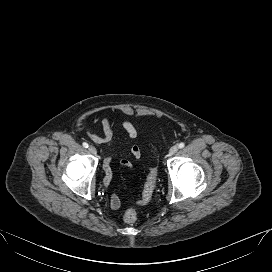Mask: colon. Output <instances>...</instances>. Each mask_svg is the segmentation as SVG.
I'll list each match as a JSON object with an SVG mask.
<instances>
[{"instance_id":"colon-1","label":"colon","mask_w":272,"mask_h":272,"mask_svg":"<svg viewBox=\"0 0 272 272\" xmlns=\"http://www.w3.org/2000/svg\"><path fill=\"white\" fill-rule=\"evenodd\" d=\"M157 178H158L157 168L153 167L150 170L146 182L144 184L142 197L140 199L141 203H147L151 199L153 191L156 186ZM123 219L128 224L135 223L138 219L137 211L134 208L127 209L123 215Z\"/></svg>"}]
</instances>
